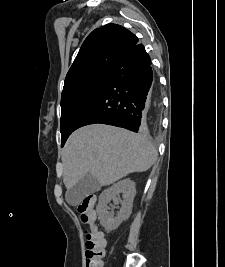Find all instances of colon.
Returning <instances> with one entry per match:
<instances>
[{"label": "colon", "instance_id": "5ec220e1", "mask_svg": "<svg viewBox=\"0 0 225 267\" xmlns=\"http://www.w3.org/2000/svg\"><path fill=\"white\" fill-rule=\"evenodd\" d=\"M94 204V196L89 195L78 206L82 222L88 225L84 230V236L86 238L84 267H103V258L105 256V240L103 234L92 223L94 219Z\"/></svg>", "mask_w": 225, "mask_h": 267}]
</instances>
